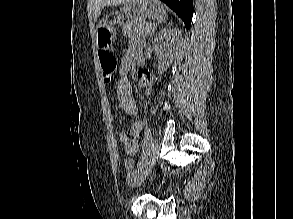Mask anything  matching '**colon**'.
I'll return each instance as SVG.
<instances>
[{
    "label": "colon",
    "mask_w": 293,
    "mask_h": 219,
    "mask_svg": "<svg viewBox=\"0 0 293 219\" xmlns=\"http://www.w3.org/2000/svg\"><path fill=\"white\" fill-rule=\"evenodd\" d=\"M100 65L103 71V77L105 82L110 83L114 80L117 74V58L113 53L107 50H101L98 53ZM134 161L132 159H127L125 161V167L128 169L133 168Z\"/></svg>",
    "instance_id": "colon-1"
}]
</instances>
